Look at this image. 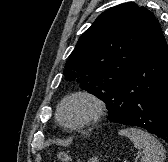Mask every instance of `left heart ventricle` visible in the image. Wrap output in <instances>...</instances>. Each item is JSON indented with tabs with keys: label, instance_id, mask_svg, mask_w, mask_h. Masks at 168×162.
I'll return each instance as SVG.
<instances>
[{
	"label": "left heart ventricle",
	"instance_id": "obj_1",
	"mask_svg": "<svg viewBox=\"0 0 168 162\" xmlns=\"http://www.w3.org/2000/svg\"><path fill=\"white\" fill-rule=\"evenodd\" d=\"M85 108L79 104H71L63 111V119L66 122L74 123L80 120L85 114Z\"/></svg>",
	"mask_w": 168,
	"mask_h": 162
}]
</instances>
